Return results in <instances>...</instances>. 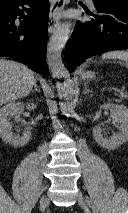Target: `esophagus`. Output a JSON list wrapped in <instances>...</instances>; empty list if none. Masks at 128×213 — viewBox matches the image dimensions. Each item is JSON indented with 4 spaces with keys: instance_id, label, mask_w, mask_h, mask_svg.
I'll list each match as a JSON object with an SVG mask.
<instances>
[{
    "instance_id": "1",
    "label": "esophagus",
    "mask_w": 128,
    "mask_h": 213,
    "mask_svg": "<svg viewBox=\"0 0 128 213\" xmlns=\"http://www.w3.org/2000/svg\"><path fill=\"white\" fill-rule=\"evenodd\" d=\"M66 2L67 0H51L48 20L49 34H51L60 24V15L65 7Z\"/></svg>"
}]
</instances>
